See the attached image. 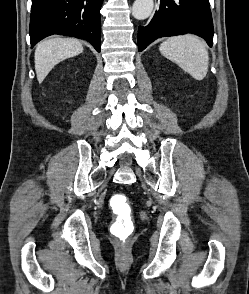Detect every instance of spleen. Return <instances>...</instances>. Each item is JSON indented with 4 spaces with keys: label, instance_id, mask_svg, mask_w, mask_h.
<instances>
[{
    "label": "spleen",
    "instance_id": "1",
    "mask_svg": "<svg viewBox=\"0 0 249 294\" xmlns=\"http://www.w3.org/2000/svg\"><path fill=\"white\" fill-rule=\"evenodd\" d=\"M159 50L196 80H203L208 71L209 55L205 43L197 36L187 34L164 41Z\"/></svg>",
    "mask_w": 249,
    "mask_h": 294
}]
</instances>
